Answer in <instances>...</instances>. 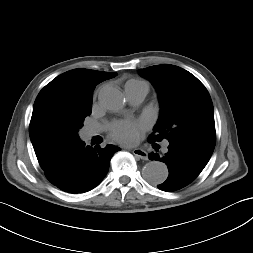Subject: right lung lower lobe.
Instances as JSON below:
<instances>
[{"mask_svg":"<svg viewBox=\"0 0 253 253\" xmlns=\"http://www.w3.org/2000/svg\"><path fill=\"white\" fill-rule=\"evenodd\" d=\"M120 148L85 146L79 140L60 158L48 180L59 189L69 193H84L95 188L106 176L114 152Z\"/></svg>","mask_w":253,"mask_h":253,"instance_id":"98d812e1","label":"right lung lower lobe"}]
</instances>
